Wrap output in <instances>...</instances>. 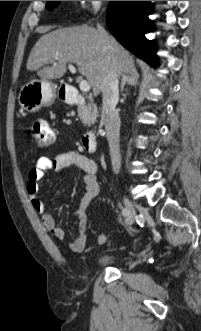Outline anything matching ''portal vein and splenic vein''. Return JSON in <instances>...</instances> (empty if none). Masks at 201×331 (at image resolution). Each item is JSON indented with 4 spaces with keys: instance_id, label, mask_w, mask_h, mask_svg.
Masks as SVG:
<instances>
[{
    "instance_id": "18ae733b",
    "label": "portal vein and splenic vein",
    "mask_w": 201,
    "mask_h": 331,
    "mask_svg": "<svg viewBox=\"0 0 201 331\" xmlns=\"http://www.w3.org/2000/svg\"><path fill=\"white\" fill-rule=\"evenodd\" d=\"M68 68H69L70 72L76 73V69H75V67L73 65L69 64ZM79 88H80V90L82 92H89L90 89H91V86H90V84H89L88 81H86V80H80V82H79Z\"/></svg>"
}]
</instances>
